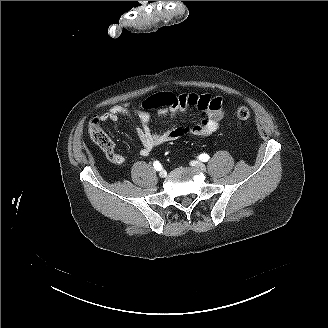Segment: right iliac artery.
<instances>
[{"mask_svg":"<svg viewBox=\"0 0 328 328\" xmlns=\"http://www.w3.org/2000/svg\"><path fill=\"white\" fill-rule=\"evenodd\" d=\"M153 166H154V168H155L157 171H160V170L162 169V166H161V164L159 163V161H155V162L153 163Z\"/></svg>","mask_w":328,"mask_h":328,"instance_id":"right-iliac-artery-1","label":"right iliac artery"}]
</instances>
